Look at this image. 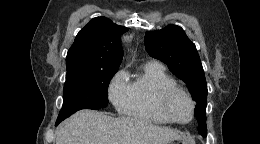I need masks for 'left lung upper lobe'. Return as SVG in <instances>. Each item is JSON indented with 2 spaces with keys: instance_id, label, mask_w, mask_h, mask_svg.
<instances>
[{
  "instance_id": "obj_1",
  "label": "left lung upper lobe",
  "mask_w": 260,
  "mask_h": 144,
  "mask_svg": "<svg viewBox=\"0 0 260 144\" xmlns=\"http://www.w3.org/2000/svg\"><path fill=\"white\" fill-rule=\"evenodd\" d=\"M144 43L151 57L167 64L171 72L188 85L191 95L197 102L195 113L199 123V134L206 137L208 90L195 44L177 25H168L161 30L146 32Z\"/></svg>"
}]
</instances>
